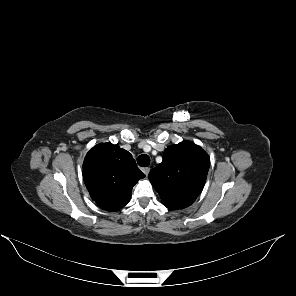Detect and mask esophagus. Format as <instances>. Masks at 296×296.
<instances>
[{"mask_svg":"<svg viewBox=\"0 0 296 296\" xmlns=\"http://www.w3.org/2000/svg\"><path fill=\"white\" fill-rule=\"evenodd\" d=\"M149 171H150V168H149V167H146V168L143 169V172H144V174H145L146 176H148Z\"/></svg>","mask_w":296,"mask_h":296,"instance_id":"obj_1","label":"esophagus"}]
</instances>
